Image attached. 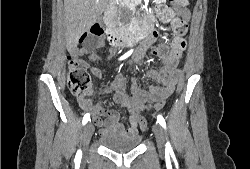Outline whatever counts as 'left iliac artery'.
<instances>
[{"mask_svg":"<svg viewBox=\"0 0 250 169\" xmlns=\"http://www.w3.org/2000/svg\"><path fill=\"white\" fill-rule=\"evenodd\" d=\"M157 122H158L164 129H166V122H165V119H164L161 115H158V116H157ZM166 151H169V152H172V151H173L169 142L166 143Z\"/></svg>","mask_w":250,"mask_h":169,"instance_id":"44dca946","label":"left iliac artery"}]
</instances>
